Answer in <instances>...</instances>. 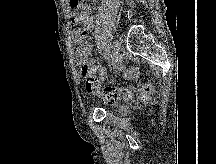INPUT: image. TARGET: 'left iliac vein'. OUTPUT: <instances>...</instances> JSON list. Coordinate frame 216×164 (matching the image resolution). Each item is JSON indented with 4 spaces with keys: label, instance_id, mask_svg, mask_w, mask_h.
Segmentation results:
<instances>
[{
    "label": "left iliac vein",
    "instance_id": "1",
    "mask_svg": "<svg viewBox=\"0 0 216 164\" xmlns=\"http://www.w3.org/2000/svg\"><path fill=\"white\" fill-rule=\"evenodd\" d=\"M111 47H112L113 53H116V54H117V57H118V59H119V57H120V47H121L120 42H119L117 39H115V40L113 41Z\"/></svg>",
    "mask_w": 216,
    "mask_h": 164
}]
</instances>
